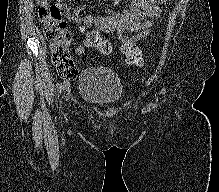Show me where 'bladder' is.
Here are the masks:
<instances>
[{
  "label": "bladder",
  "mask_w": 219,
  "mask_h": 192,
  "mask_svg": "<svg viewBox=\"0 0 219 192\" xmlns=\"http://www.w3.org/2000/svg\"><path fill=\"white\" fill-rule=\"evenodd\" d=\"M80 97L91 104L110 107L118 104L123 94L120 77L111 69L90 66L79 77Z\"/></svg>",
  "instance_id": "obj_1"
}]
</instances>
